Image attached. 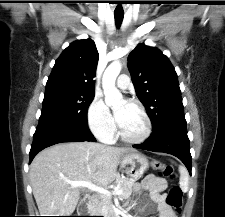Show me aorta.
<instances>
[{
  "instance_id": "1",
  "label": "aorta",
  "mask_w": 225,
  "mask_h": 217,
  "mask_svg": "<svg viewBox=\"0 0 225 217\" xmlns=\"http://www.w3.org/2000/svg\"><path fill=\"white\" fill-rule=\"evenodd\" d=\"M122 69L119 61H113L104 71L102 87L105 95V103L108 106H116L122 102V94L115 86V81Z\"/></svg>"
}]
</instances>
